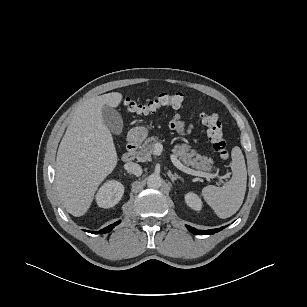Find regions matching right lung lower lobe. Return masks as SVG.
I'll use <instances>...</instances> for the list:
<instances>
[{"label":"right lung lower lobe","mask_w":307,"mask_h":307,"mask_svg":"<svg viewBox=\"0 0 307 307\" xmlns=\"http://www.w3.org/2000/svg\"><path fill=\"white\" fill-rule=\"evenodd\" d=\"M120 223V221H117L109 226H107L106 228L100 230L99 232H94V231H91V233L93 234H96V233H99V234H103V233H107V232H110L115 226H117L118 224ZM89 232V231H88Z\"/></svg>","instance_id":"obj_1"}]
</instances>
